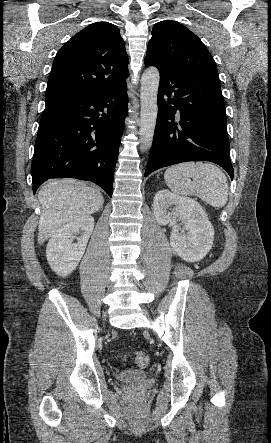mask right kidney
I'll return each instance as SVG.
<instances>
[{
  "label": "right kidney",
  "mask_w": 271,
  "mask_h": 443,
  "mask_svg": "<svg viewBox=\"0 0 271 443\" xmlns=\"http://www.w3.org/2000/svg\"><path fill=\"white\" fill-rule=\"evenodd\" d=\"M94 229L92 216H81L61 225L47 243V259L57 275H69L78 265ZM80 233V235H79ZM78 235V237H77ZM77 239V243H72Z\"/></svg>",
  "instance_id": "right-kidney-1"
}]
</instances>
